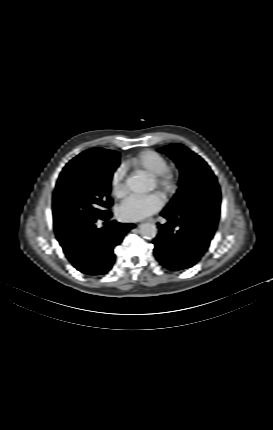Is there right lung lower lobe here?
<instances>
[{
    "label": "right lung lower lobe",
    "instance_id": "98d812e1",
    "mask_svg": "<svg viewBox=\"0 0 273 430\" xmlns=\"http://www.w3.org/2000/svg\"><path fill=\"white\" fill-rule=\"evenodd\" d=\"M111 216L110 213L101 219L108 220ZM95 222L58 239L72 265L89 276L108 273L115 262V246L120 244L124 235L134 227V224L113 221L109 227L98 229Z\"/></svg>",
    "mask_w": 273,
    "mask_h": 430
}]
</instances>
